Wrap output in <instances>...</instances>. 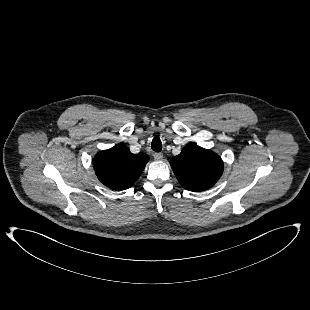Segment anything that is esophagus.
<instances>
[{
  "label": "esophagus",
  "instance_id": "34e87169",
  "mask_svg": "<svg viewBox=\"0 0 310 310\" xmlns=\"http://www.w3.org/2000/svg\"><path fill=\"white\" fill-rule=\"evenodd\" d=\"M153 156H154V159L157 161L163 160V154L162 153H155Z\"/></svg>",
  "mask_w": 310,
  "mask_h": 310
}]
</instances>
